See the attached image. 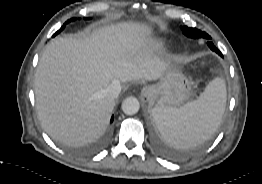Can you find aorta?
<instances>
[{
  "label": "aorta",
  "instance_id": "762f6f07",
  "mask_svg": "<svg viewBox=\"0 0 262 184\" xmlns=\"http://www.w3.org/2000/svg\"><path fill=\"white\" fill-rule=\"evenodd\" d=\"M121 108L126 115H134L139 111L140 103L136 97H127L122 102Z\"/></svg>",
  "mask_w": 262,
  "mask_h": 184
}]
</instances>
